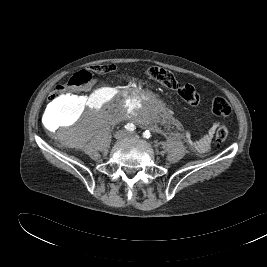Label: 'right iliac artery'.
I'll use <instances>...</instances> for the list:
<instances>
[{
	"label": "right iliac artery",
	"mask_w": 267,
	"mask_h": 267,
	"mask_svg": "<svg viewBox=\"0 0 267 267\" xmlns=\"http://www.w3.org/2000/svg\"><path fill=\"white\" fill-rule=\"evenodd\" d=\"M125 129L128 130V131H130V132H132V131L135 130V126L132 123H127L125 125Z\"/></svg>",
	"instance_id": "82829eb1"
}]
</instances>
